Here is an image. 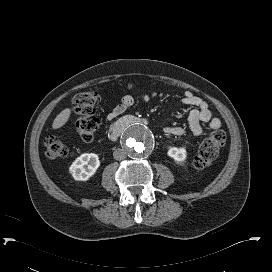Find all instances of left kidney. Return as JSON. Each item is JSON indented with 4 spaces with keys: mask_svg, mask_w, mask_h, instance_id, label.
Wrapping results in <instances>:
<instances>
[{
    "mask_svg": "<svg viewBox=\"0 0 272 272\" xmlns=\"http://www.w3.org/2000/svg\"><path fill=\"white\" fill-rule=\"evenodd\" d=\"M167 154L177 163H183L187 157V151L184 147H171L168 149Z\"/></svg>",
    "mask_w": 272,
    "mask_h": 272,
    "instance_id": "obj_1",
    "label": "left kidney"
}]
</instances>
